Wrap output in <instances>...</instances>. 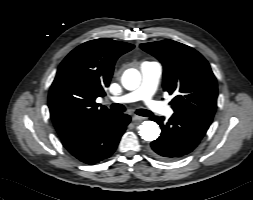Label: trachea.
<instances>
[{
    "label": "trachea",
    "mask_w": 253,
    "mask_h": 200,
    "mask_svg": "<svg viewBox=\"0 0 253 200\" xmlns=\"http://www.w3.org/2000/svg\"><path fill=\"white\" fill-rule=\"evenodd\" d=\"M112 112H124L125 107L121 104H112L110 106ZM136 114L144 117H149L152 115V112L146 109H139L136 111Z\"/></svg>",
    "instance_id": "3493384b"
}]
</instances>
